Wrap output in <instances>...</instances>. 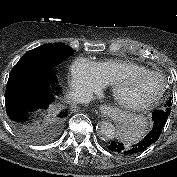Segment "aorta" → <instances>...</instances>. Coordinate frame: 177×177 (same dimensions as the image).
<instances>
[{
	"instance_id": "1",
	"label": "aorta",
	"mask_w": 177,
	"mask_h": 177,
	"mask_svg": "<svg viewBox=\"0 0 177 177\" xmlns=\"http://www.w3.org/2000/svg\"><path fill=\"white\" fill-rule=\"evenodd\" d=\"M99 134L103 139H113L116 135V128L111 122H102L99 127Z\"/></svg>"
}]
</instances>
